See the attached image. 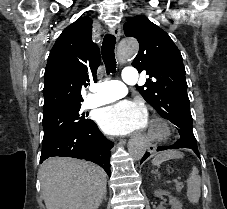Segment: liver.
<instances>
[{
	"label": "liver",
	"instance_id": "liver-1",
	"mask_svg": "<svg viewBox=\"0 0 227 209\" xmlns=\"http://www.w3.org/2000/svg\"><path fill=\"white\" fill-rule=\"evenodd\" d=\"M46 209H98L106 193V173L86 161L51 157L39 169Z\"/></svg>",
	"mask_w": 227,
	"mask_h": 209
}]
</instances>
